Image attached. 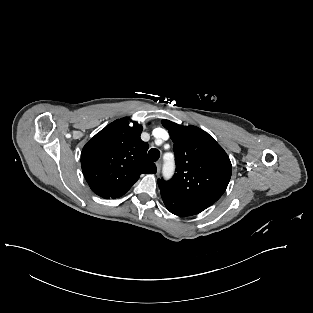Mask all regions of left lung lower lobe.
I'll list each match as a JSON object with an SVG mask.
<instances>
[{
  "instance_id": "obj_1",
  "label": "left lung lower lobe",
  "mask_w": 313,
  "mask_h": 313,
  "mask_svg": "<svg viewBox=\"0 0 313 313\" xmlns=\"http://www.w3.org/2000/svg\"><path fill=\"white\" fill-rule=\"evenodd\" d=\"M161 197L163 199V202L166 208L171 213L177 216H180V217L192 216L203 211L202 209L182 203L166 194L161 193Z\"/></svg>"
}]
</instances>
